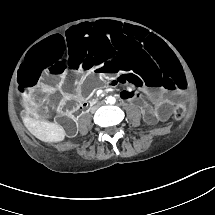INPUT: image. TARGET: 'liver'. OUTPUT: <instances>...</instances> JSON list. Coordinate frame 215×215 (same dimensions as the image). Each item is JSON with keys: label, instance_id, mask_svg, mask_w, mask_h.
I'll return each instance as SVG.
<instances>
[{"label": "liver", "instance_id": "liver-1", "mask_svg": "<svg viewBox=\"0 0 215 215\" xmlns=\"http://www.w3.org/2000/svg\"><path fill=\"white\" fill-rule=\"evenodd\" d=\"M23 122L28 130L44 141L62 140L65 135L64 129L54 123L38 121L32 118L25 117Z\"/></svg>", "mask_w": 215, "mask_h": 215}]
</instances>
